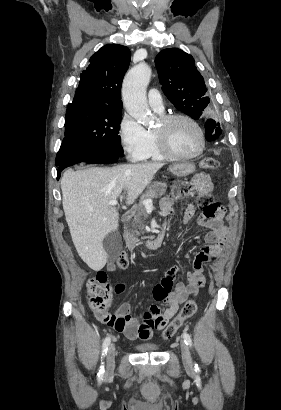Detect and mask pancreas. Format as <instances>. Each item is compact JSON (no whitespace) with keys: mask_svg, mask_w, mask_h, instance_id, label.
Wrapping results in <instances>:
<instances>
[{"mask_svg":"<svg viewBox=\"0 0 281 410\" xmlns=\"http://www.w3.org/2000/svg\"><path fill=\"white\" fill-rule=\"evenodd\" d=\"M167 183L166 182H153L147 187L146 192L142 195V201L145 199H153L161 197L166 193ZM142 201L134 207V211L131 214V227L125 228L124 238L127 245L135 243L137 241V236L144 233V223L147 216L146 207L143 205Z\"/></svg>","mask_w":281,"mask_h":410,"instance_id":"obj_1","label":"pancreas"}]
</instances>
